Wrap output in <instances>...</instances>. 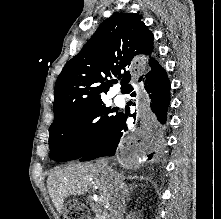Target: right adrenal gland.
Listing matches in <instances>:
<instances>
[{
	"label": "right adrenal gland",
	"mask_w": 221,
	"mask_h": 219,
	"mask_svg": "<svg viewBox=\"0 0 221 219\" xmlns=\"http://www.w3.org/2000/svg\"><path fill=\"white\" fill-rule=\"evenodd\" d=\"M137 187V185H130V187L125 190V193H126V200L127 201H130L131 198L129 197L131 195V193L133 192V190ZM125 207H126V204L124 205V211L123 213H125Z\"/></svg>",
	"instance_id": "1"
}]
</instances>
